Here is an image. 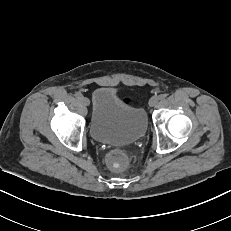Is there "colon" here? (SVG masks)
<instances>
[{"instance_id": "colon-1", "label": "colon", "mask_w": 231, "mask_h": 231, "mask_svg": "<svg viewBox=\"0 0 231 231\" xmlns=\"http://www.w3.org/2000/svg\"><path fill=\"white\" fill-rule=\"evenodd\" d=\"M129 101V98H125ZM108 166L113 170H123L128 164V156L122 149H114L110 151L106 158Z\"/></svg>"}]
</instances>
